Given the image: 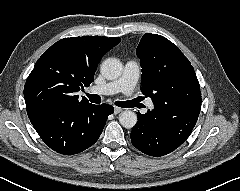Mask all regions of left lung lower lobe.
I'll list each match as a JSON object with an SVG mask.
<instances>
[{
    "mask_svg": "<svg viewBox=\"0 0 240 191\" xmlns=\"http://www.w3.org/2000/svg\"><path fill=\"white\" fill-rule=\"evenodd\" d=\"M199 112L193 107L178 110L175 116L148 110L137 113L138 122L132 128L131 142L147 155L159 157L178 148L192 132Z\"/></svg>",
    "mask_w": 240,
    "mask_h": 191,
    "instance_id": "1",
    "label": "left lung lower lobe"
}]
</instances>
